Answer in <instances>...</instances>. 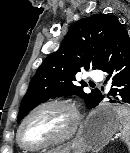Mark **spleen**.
Segmentation results:
<instances>
[{"label": "spleen", "instance_id": "1", "mask_svg": "<svg viewBox=\"0 0 130 153\" xmlns=\"http://www.w3.org/2000/svg\"><path fill=\"white\" fill-rule=\"evenodd\" d=\"M116 112L121 122L120 136L127 144L130 151V109L126 107H116Z\"/></svg>", "mask_w": 130, "mask_h": 153}]
</instances>
